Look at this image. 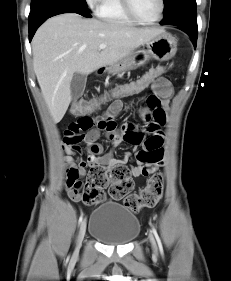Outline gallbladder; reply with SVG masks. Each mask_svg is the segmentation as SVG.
Here are the masks:
<instances>
[{
	"instance_id": "bac80fb5",
	"label": "gallbladder",
	"mask_w": 231,
	"mask_h": 281,
	"mask_svg": "<svg viewBox=\"0 0 231 281\" xmlns=\"http://www.w3.org/2000/svg\"><path fill=\"white\" fill-rule=\"evenodd\" d=\"M86 80V75L81 73H74L70 85L71 95L74 100L79 98L83 94L86 86Z\"/></svg>"
}]
</instances>
